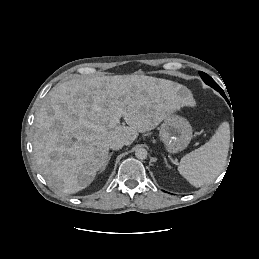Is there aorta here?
Listing matches in <instances>:
<instances>
[{
	"label": "aorta",
	"instance_id": "762f6f07",
	"mask_svg": "<svg viewBox=\"0 0 259 259\" xmlns=\"http://www.w3.org/2000/svg\"><path fill=\"white\" fill-rule=\"evenodd\" d=\"M135 156L137 159L144 160L147 158V151L144 148H138L135 151Z\"/></svg>",
	"mask_w": 259,
	"mask_h": 259
}]
</instances>
